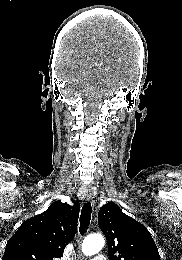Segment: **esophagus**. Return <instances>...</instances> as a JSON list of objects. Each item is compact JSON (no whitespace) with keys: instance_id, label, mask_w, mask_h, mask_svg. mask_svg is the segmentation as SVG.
<instances>
[{"instance_id":"obj_1","label":"esophagus","mask_w":182,"mask_h":260,"mask_svg":"<svg viewBox=\"0 0 182 260\" xmlns=\"http://www.w3.org/2000/svg\"><path fill=\"white\" fill-rule=\"evenodd\" d=\"M85 197H86V200L89 201V202H93V199H94V195H93V192L91 189H87L85 191Z\"/></svg>"}]
</instances>
